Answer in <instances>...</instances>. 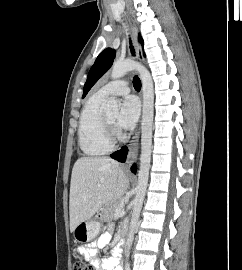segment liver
Masks as SVG:
<instances>
[{"instance_id": "liver-1", "label": "liver", "mask_w": 242, "mask_h": 270, "mask_svg": "<svg viewBox=\"0 0 242 270\" xmlns=\"http://www.w3.org/2000/svg\"><path fill=\"white\" fill-rule=\"evenodd\" d=\"M128 187V176L115 160L108 157L79 158L71 175L70 231L89 220L102 206L120 200Z\"/></svg>"}]
</instances>
